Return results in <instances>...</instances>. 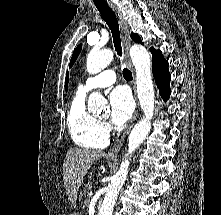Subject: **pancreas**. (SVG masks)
Returning <instances> with one entry per match:
<instances>
[{"instance_id":"obj_1","label":"pancreas","mask_w":221,"mask_h":215,"mask_svg":"<svg viewBox=\"0 0 221 215\" xmlns=\"http://www.w3.org/2000/svg\"><path fill=\"white\" fill-rule=\"evenodd\" d=\"M91 184H87L81 193V198H84V204L87 206L89 204L88 192L91 190Z\"/></svg>"}]
</instances>
